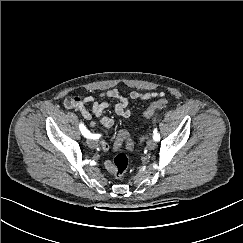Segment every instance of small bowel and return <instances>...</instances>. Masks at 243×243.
I'll use <instances>...</instances> for the list:
<instances>
[{
  "mask_svg": "<svg viewBox=\"0 0 243 243\" xmlns=\"http://www.w3.org/2000/svg\"><path fill=\"white\" fill-rule=\"evenodd\" d=\"M163 92L158 91H132L129 94V98L133 100H149L163 96ZM104 98L114 99L117 104L114 107V111L117 115L128 118L130 116V110L128 108L129 99L123 95L118 89H110L101 94ZM92 103V110L88 108V104ZM76 108L80 111L84 119L90 121L92 127L101 124L105 127H111L114 124V119L109 116H104L103 112L109 108L110 104L107 101H98L93 97L88 96L81 99L76 105ZM95 117L97 120H92ZM109 149L108 144L105 141H101V150L107 152ZM105 168L111 174L114 173L113 162L109 159L104 161Z\"/></svg>",
  "mask_w": 243,
  "mask_h": 243,
  "instance_id": "1",
  "label": "small bowel"
}]
</instances>
